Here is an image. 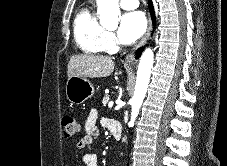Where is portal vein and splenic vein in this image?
<instances>
[{
    "mask_svg": "<svg viewBox=\"0 0 227 166\" xmlns=\"http://www.w3.org/2000/svg\"><path fill=\"white\" fill-rule=\"evenodd\" d=\"M112 106H113V102H110V103L108 104V107L111 108Z\"/></svg>",
    "mask_w": 227,
    "mask_h": 166,
    "instance_id": "portal-vein-and-splenic-vein-1",
    "label": "portal vein and splenic vein"
}]
</instances>
